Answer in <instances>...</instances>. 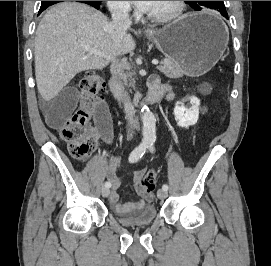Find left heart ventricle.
<instances>
[{
    "label": "left heart ventricle",
    "instance_id": "b2bd125f",
    "mask_svg": "<svg viewBox=\"0 0 271 266\" xmlns=\"http://www.w3.org/2000/svg\"><path fill=\"white\" fill-rule=\"evenodd\" d=\"M174 1H155L153 7L149 10L152 14H163L173 8Z\"/></svg>",
    "mask_w": 271,
    "mask_h": 266
}]
</instances>
